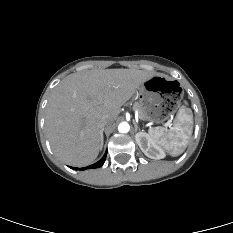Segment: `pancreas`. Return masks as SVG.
<instances>
[{
    "mask_svg": "<svg viewBox=\"0 0 233 233\" xmlns=\"http://www.w3.org/2000/svg\"><path fill=\"white\" fill-rule=\"evenodd\" d=\"M143 116L140 114V118H142Z\"/></svg>",
    "mask_w": 233,
    "mask_h": 233,
    "instance_id": "pancreas-1",
    "label": "pancreas"
}]
</instances>
